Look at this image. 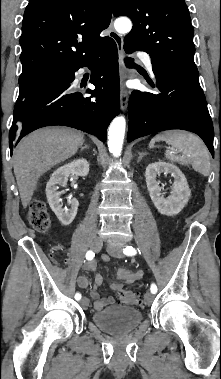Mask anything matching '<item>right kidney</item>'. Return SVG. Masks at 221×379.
Returning a JSON list of instances; mask_svg holds the SVG:
<instances>
[{"label": "right kidney", "instance_id": "right-kidney-1", "mask_svg": "<svg viewBox=\"0 0 221 379\" xmlns=\"http://www.w3.org/2000/svg\"><path fill=\"white\" fill-rule=\"evenodd\" d=\"M89 173V163L86 159L81 158L65 164L53 172L46 185V196L50 208L55 213L62 225H70L76 217L79 202L72 198L69 199V207L63 208L58 186L65 187L67 185L70 174L85 177Z\"/></svg>", "mask_w": 221, "mask_h": 379}]
</instances>
